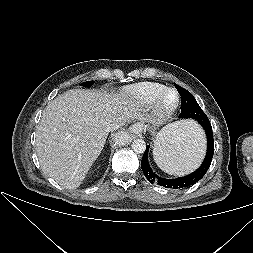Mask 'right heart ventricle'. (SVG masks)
Instances as JSON below:
<instances>
[{"label": "right heart ventricle", "mask_w": 253, "mask_h": 253, "mask_svg": "<svg viewBox=\"0 0 253 253\" xmlns=\"http://www.w3.org/2000/svg\"><path fill=\"white\" fill-rule=\"evenodd\" d=\"M165 88L166 86L160 83L142 82L125 88L123 93L138 106H146L154 103Z\"/></svg>", "instance_id": "1"}]
</instances>
